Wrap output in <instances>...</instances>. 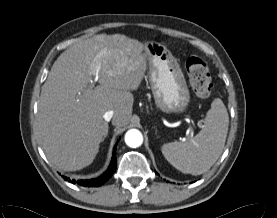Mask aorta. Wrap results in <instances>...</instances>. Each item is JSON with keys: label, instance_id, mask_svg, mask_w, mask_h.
I'll list each match as a JSON object with an SVG mask.
<instances>
[{"label": "aorta", "instance_id": "aorta-1", "mask_svg": "<svg viewBox=\"0 0 277 218\" xmlns=\"http://www.w3.org/2000/svg\"><path fill=\"white\" fill-rule=\"evenodd\" d=\"M125 143L131 148L141 146L143 143V136L141 132L137 129H130L127 131L125 134Z\"/></svg>", "mask_w": 277, "mask_h": 218}]
</instances>
